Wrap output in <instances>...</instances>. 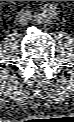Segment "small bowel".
<instances>
[{
	"instance_id": "small-bowel-1",
	"label": "small bowel",
	"mask_w": 74,
	"mask_h": 122,
	"mask_svg": "<svg viewBox=\"0 0 74 122\" xmlns=\"http://www.w3.org/2000/svg\"><path fill=\"white\" fill-rule=\"evenodd\" d=\"M55 10H56L55 6L49 4L42 9V13L44 14V16L52 17L55 13Z\"/></svg>"
}]
</instances>
